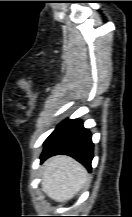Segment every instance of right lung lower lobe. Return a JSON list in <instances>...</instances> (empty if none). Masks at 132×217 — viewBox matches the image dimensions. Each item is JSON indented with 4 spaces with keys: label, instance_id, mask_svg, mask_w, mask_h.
<instances>
[{
    "label": "right lung lower lobe",
    "instance_id": "1",
    "mask_svg": "<svg viewBox=\"0 0 132 217\" xmlns=\"http://www.w3.org/2000/svg\"><path fill=\"white\" fill-rule=\"evenodd\" d=\"M57 154L72 156L91 170L93 143L89 130L83 127L82 122L77 119L64 120L46 139L41 162Z\"/></svg>",
    "mask_w": 132,
    "mask_h": 217
}]
</instances>
